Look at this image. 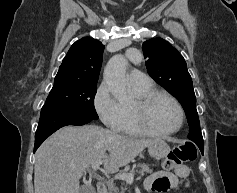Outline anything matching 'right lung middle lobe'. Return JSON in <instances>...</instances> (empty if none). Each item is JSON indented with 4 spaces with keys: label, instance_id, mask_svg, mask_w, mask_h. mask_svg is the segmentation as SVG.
Here are the masks:
<instances>
[{
    "label": "right lung middle lobe",
    "instance_id": "obj_1",
    "mask_svg": "<svg viewBox=\"0 0 237 193\" xmlns=\"http://www.w3.org/2000/svg\"><path fill=\"white\" fill-rule=\"evenodd\" d=\"M97 82L55 78L42 110H52L81 118L98 119L94 108Z\"/></svg>",
    "mask_w": 237,
    "mask_h": 193
}]
</instances>
